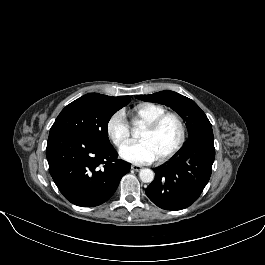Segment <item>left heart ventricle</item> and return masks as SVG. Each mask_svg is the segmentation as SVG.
<instances>
[{
    "instance_id": "1",
    "label": "left heart ventricle",
    "mask_w": 265,
    "mask_h": 265,
    "mask_svg": "<svg viewBox=\"0 0 265 265\" xmlns=\"http://www.w3.org/2000/svg\"><path fill=\"white\" fill-rule=\"evenodd\" d=\"M180 137V127L174 118L166 119L155 131L143 129L139 138L148 142L157 157L170 150Z\"/></svg>"
}]
</instances>
